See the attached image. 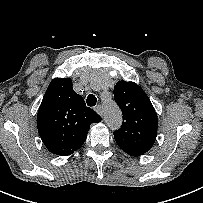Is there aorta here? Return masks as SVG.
Masks as SVG:
<instances>
[{
    "mask_svg": "<svg viewBox=\"0 0 203 203\" xmlns=\"http://www.w3.org/2000/svg\"><path fill=\"white\" fill-rule=\"evenodd\" d=\"M104 119L111 129H117L122 121L121 112L113 100L104 103Z\"/></svg>",
    "mask_w": 203,
    "mask_h": 203,
    "instance_id": "762f6f07",
    "label": "aorta"
}]
</instances>
